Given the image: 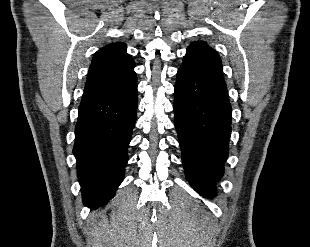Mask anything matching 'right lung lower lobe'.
I'll return each mask as SVG.
<instances>
[{"instance_id": "obj_1", "label": "right lung lower lobe", "mask_w": 310, "mask_h": 247, "mask_svg": "<svg viewBox=\"0 0 310 247\" xmlns=\"http://www.w3.org/2000/svg\"><path fill=\"white\" fill-rule=\"evenodd\" d=\"M136 82L82 96L73 153L83 202L91 209L111 199L122 182L136 120Z\"/></svg>"}]
</instances>
